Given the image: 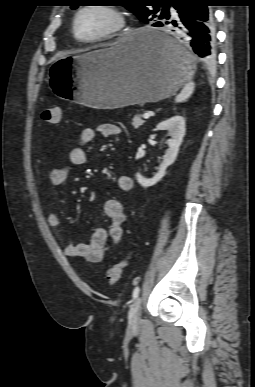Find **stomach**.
Returning <instances> with one entry per match:
<instances>
[{
	"label": "stomach",
	"mask_w": 255,
	"mask_h": 387,
	"mask_svg": "<svg viewBox=\"0 0 255 387\" xmlns=\"http://www.w3.org/2000/svg\"><path fill=\"white\" fill-rule=\"evenodd\" d=\"M141 28L109 47L57 59L50 67L51 87L67 104L113 109L156 102L176 93L195 71L186 49L170 38L185 55L166 58L146 44Z\"/></svg>",
	"instance_id": "0dacf381"
}]
</instances>
